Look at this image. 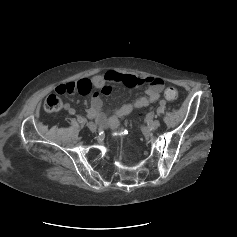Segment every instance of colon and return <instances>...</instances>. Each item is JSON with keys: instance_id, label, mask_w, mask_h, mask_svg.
I'll list each match as a JSON object with an SVG mask.
<instances>
[{"instance_id": "1", "label": "colon", "mask_w": 237, "mask_h": 237, "mask_svg": "<svg viewBox=\"0 0 237 237\" xmlns=\"http://www.w3.org/2000/svg\"><path fill=\"white\" fill-rule=\"evenodd\" d=\"M164 96L169 101H176L178 99L179 92L174 87H167L164 91ZM44 108L49 113L58 112L61 109V101L56 95L51 94L47 97L44 103Z\"/></svg>"}]
</instances>
